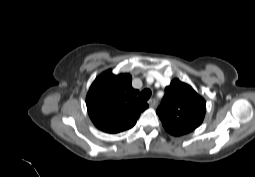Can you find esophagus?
Returning <instances> with one entry per match:
<instances>
[{
  "label": "esophagus",
  "instance_id": "esophagus-1",
  "mask_svg": "<svg viewBox=\"0 0 255 177\" xmlns=\"http://www.w3.org/2000/svg\"><path fill=\"white\" fill-rule=\"evenodd\" d=\"M148 104H149L150 107H155L156 104H157V101L155 99H150L148 101Z\"/></svg>",
  "mask_w": 255,
  "mask_h": 177
}]
</instances>
